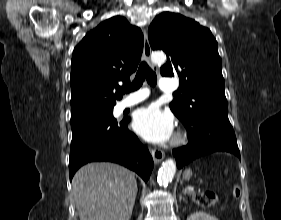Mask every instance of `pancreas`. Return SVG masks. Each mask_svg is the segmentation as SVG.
<instances>
[{
  "label": "pancreas",
  "instance_id": "1",
  "mask_svg": "<svg viewBox=\"0 0 281 220\" xmlns=\"http://www.w3.org/2000/svg\"><path fill=\"white\" fill-rule=\"evenodd\" d=\"M189 194L191 195L192 199L195 200L196 194L194 192H189Z\"/></svg>",
  "mask_w": 281,
  "mask_h": 220
}]
</instances>
